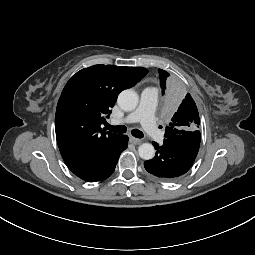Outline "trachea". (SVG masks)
<instances>
[{
    "mask_svg": "<svg viewBox=\"0 0 255 255\" xmlns=\"http://www.w3.org/2000/svg\"><path fill=\"white\" fill-rule=\"evenodd\" d=\"M106 128L116 133H126L127 131V128L124 125L111 126L110 124H107ZM131 134L136 138H142L144 136L143 132L138 129H133Z\"/></svg>",
    "mask_w": 255,
    "mask_h": 255,
    "instance_id": "obj_1",
    "label": "trachea"
}]
</instances>
